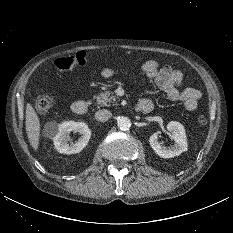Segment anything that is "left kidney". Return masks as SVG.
<instances>
[{"mask_svg":"<svg viewBox=\"0 0 233 233\" xmlns=\"http://www.w3.org/2000/svg\"><path fill=\"white\" fill-rule=\"evenodd\" d=\"M167 129L172 134V139L175 144L169 148L163 147L158 141L160 131L155 132L149 138L150 145L155 153L162 158H173L187 151L188 144L184 126L176 121H171L167 124Z\"/></svg>","mask_w":233,"mask_h":233,"instance_id":"left-kidney-1","label":"left kidney"}]
</instances>
